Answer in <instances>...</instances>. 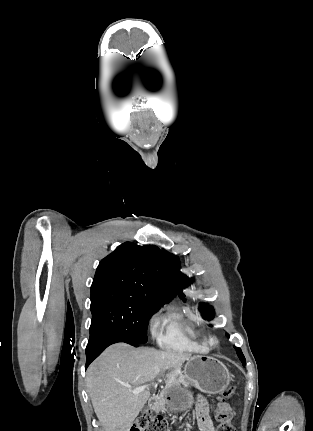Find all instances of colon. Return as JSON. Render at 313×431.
<instances>
[{
    "label": "colon",
    "mask_w": 313,
    "mask_h": 431,
    "mask_svg": "<svg viewBox=\"0 0 313 431\" xmlns=\"http://www.w3.org/2000/svg\"><path fill=\"white\" fill-rule=\"evenodd\" d=\"M234 393V386H229L222 392V398H230ZM218 422L216 431H235L226 411H221L218 414ZM130 431H168V425L161 416L148 409L135 420Z\"/></svg>",
    "instance_id": "obj_1"
}]
</instances>
